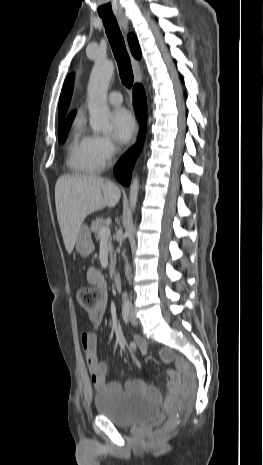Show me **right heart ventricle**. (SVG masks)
<instances>
[{
  "label": "right heart ventricle",
  "instance_id": "obj_1",
  "mask_svg": "<svg viewBox=\"0 0 263 465\" xmlns=\"http://www.w3.org/2000/svg\"><path fill=\"white\" fill-rule=\"evenodd\" d=\"M67 164L78 173H95L102 166L93 151V136L89 135L80 122L73 126L67 146Z\"/></svg>",
  "mask_w": 263,
  "mask_h": 465
}]
</instances>
